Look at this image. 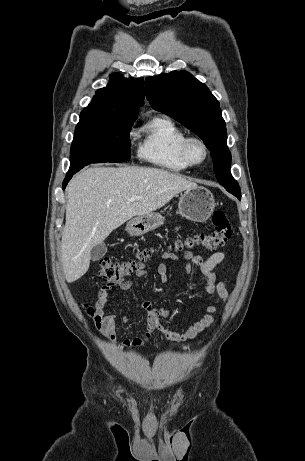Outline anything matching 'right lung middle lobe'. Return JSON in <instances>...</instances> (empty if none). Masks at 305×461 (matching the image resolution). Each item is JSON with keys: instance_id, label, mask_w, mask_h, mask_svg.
I'll return each instance as SVG.
<instances>
[{"instance_id": "1", "label": "right lung middle lobe", "mask_w": 305, "mask_h": 461, "mask_svg": "<svg viewBox=\"0 0 305 461\" xmlns=\"http://www.w3.org/2000/svg\"><path fill=\"white\" fill-rule=\"evenodd\" d=\"M134 121L81 114L71 145L70 169H81L90 163L127 161Z\"/></svg>"}]
</instances>
